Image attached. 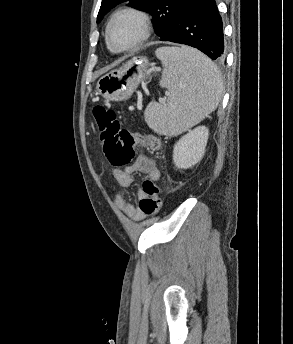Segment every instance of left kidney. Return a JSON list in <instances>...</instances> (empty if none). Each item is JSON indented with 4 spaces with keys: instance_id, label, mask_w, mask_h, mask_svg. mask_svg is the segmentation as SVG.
I'll use <instances>...</instances> for the list:
<instances>
[{
    "instance_id": "1",
    "label": "left kidney",
    "mask_w": 293,
    "mask_h": 344,
    "mask_svg": "<svg viewBox=\"0 0 293 344\" xmlns=\"http://www.w3.org/2000/svg\"><path fill=\"white\" fill-rule=\"evenodd\" d=\"M209 130L198 126L182 136L174 145L173 162L178 169H188L200 162L205 153Z\"/></svg>"
}]
</instances>
